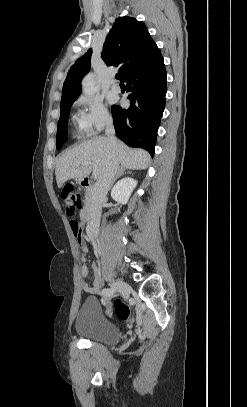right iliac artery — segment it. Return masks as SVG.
Segmentation results:
<instances>
[{
  "mask_svg": "<svg viewBox=\"0 0 247 407\" xmlns=\"http://www.w3.org/2000/svg\"><path fill=\"white\" fill-rule=\"evenodd\" d=\"M115 294L114 288H105L102 290V295L112 297Z\"/></svg>",
  "mask_w": 247,
  "mask_h": 407,
  "instance_id": "1",
  "label": "right iliac artery"
}]
</instances>
